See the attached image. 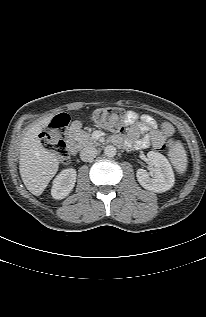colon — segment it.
<instances>
[{
  "label": "colon",
  "instance_id": "obj_1",
  "mask_svg": "<svg viewBox=\"0 0 206 317\" xmlns=\"http://www.w3.org/2000/svg\"><path fill=\"white\" fill-rule=\"evenodd\" d=\"M93 120L100 126L119 131L123 128L126 121V112L118 107L100 108L94 111ZM69 123L66 114L56 116L48 129L41 134V141L45 148L54 151L63 164L70 160V153L62 139L63 129ZM173 145L172 141L163 142L160 149H166Z\"/></svg>",
  "mask_w": 206,
  "mask_h": 317
}]
</instances>
